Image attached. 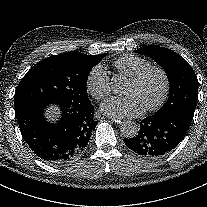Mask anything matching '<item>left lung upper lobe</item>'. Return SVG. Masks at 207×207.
<instances>
[{"label": "left lung upper lobe", "mask_w": 207, "mask_h": 207, "mask_svg": "<svg viewBox=\"0 0 207 207\" xmlns=\"http://www.w3.org/2000/svg\"><path fill=\"white\" fill-rule=\"evenodd\" d=\"M135 52L154 59L169 79V98L155 114L180 112L192 119L198 100V80L187 61L176 52L155 45Z\"/></svg>", "instance_id": "left-lung-upper-lobe-1"}]
</instances>
